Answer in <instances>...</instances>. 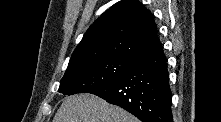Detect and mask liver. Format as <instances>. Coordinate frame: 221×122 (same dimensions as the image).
<instances>
[{
  "mask_svg": "<svg viewBox=\"0 0 221 122\" xmlns=\"http://www.w3.org/2000/svg\"><path fill=\"white\" fill-rule=\"evenodd\" d=\"M53 122H138L126 110L90 93L67 96Z\"/></svg>",
  "mask_w": 221,
  "mask_h": 122,
  "instance_id": "liver-1",
  "label": "liver"
}]
</instances>
